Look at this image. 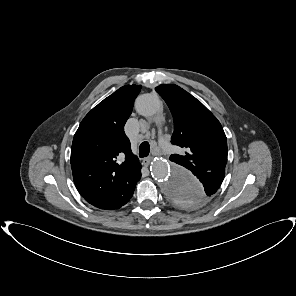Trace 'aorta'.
Wrapping results in <instances>:
<instances>
[{
  "label": "aorta",
  "instance_id": "762f6f07",
  "mask_svg": "<svg viewBox=\"0 0 296 296\" xmlns=\"http://www.w3.org/2000/svg\"><path fill=\"white\" fill-rule=\"evenodd\" d=\"M136 111L157 122L163 121L162 101L153 94L140 95L135 102ZM151 174L161 185L166 199L185 211L201 206L205 198L203 186L184 166L163 159L151 164Z\"/></svg>",
  "mask_w": 296,
  "mask_h": 296
}]
</instances>
